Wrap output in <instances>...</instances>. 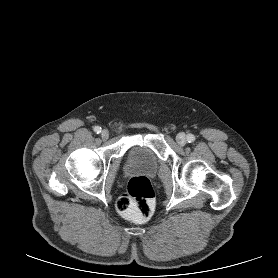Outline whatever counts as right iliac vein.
Returning a JSON list of instances; mask_svg holds the SVG:
<instances>
[{
    "instance_id": "obj_1",
    "label": "right iliac vein",
    "mask_w": 278,
    "mask_h": 278,
    "mask_svg": "<svg viewBox=\"0 0 278 278\" xmlns=\"http://www.w3.org/2000/svg\"><path fill=\"white\" fill-rule=\"evenodd\" d=\"M101 138L103 140H107L109 138V132L107 130H102L101 132Z\"/></svg>"
}]
</instances>
